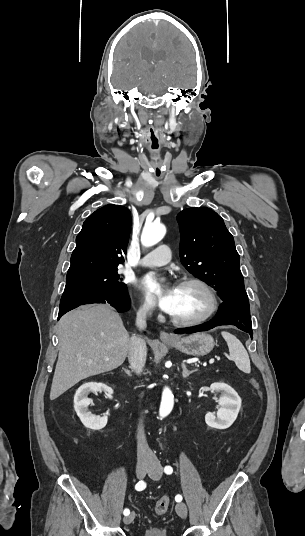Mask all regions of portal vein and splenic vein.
I'll return each mask as SVG.
<instances>
[{
	"label": "portal vein and splenic vein",
	"instance_id": "obj_1",
	"mask_svg": "<svg viewBox=\"0 0 305 536\" xmlns=\"http://www.w3.org/2000/svg\"><path fill=\"white\" fill-rule=\"evenodd\" d=\"M213 362H214V360H213V358H212V360H210L209 364H213Z\"/></svg>",
	"mask_w": 305,
	"mask_h": 536
}]
</instances>
